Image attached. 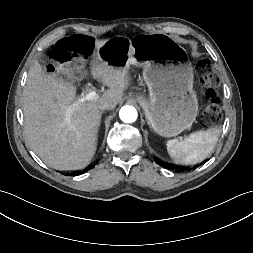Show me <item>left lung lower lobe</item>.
Segmentation results:
<instances>
[{
    "label": "left lung lower lobe",
    "mask_w": 253,
    "mask_h": 253,
    "mask_svg": "<svg viewBox=\"0 0 253 253\" xmlns=\"http://www.w3.org/2000/svg\"><path fill=\"white\" fill-rule=\"evenodd\" d=\"M157 163L164 167V168H167V169H171V170H175L176 172H182L183 170L182 169H177V167H175L174 165H171V164H168L164 161H161L159 159H156Z\"/></svg>",
    "instance_id": "obj_1"
}]
</instances>
